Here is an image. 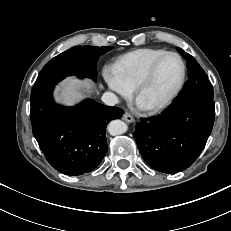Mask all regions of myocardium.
Segmentation results:
<instances>
[{"instance_id":"myocardium-1","label":"myocardium","mask_w":231,"mask_h":231,"mask_svg":"<svg viewBox=\"0 0 231 231\" xmlns=\"http://www.w3.org/2000/svg\"><path fill=\"white\" fill-rule=\"evenodd\" d=\"M169 56L177 57L181 63L180 80H179L178 84L176 85V87L172 90V92L170 94H168L164 99H162L161 101H159L157 103L144 106V109L147 111L156 112V111H159V110L166 108L178 96V94L181 92V90L185 84L187 68H186V63H185L184 59L182 58V56L180 54H178L176 52L167 51L166 53L162 54L156 60L153 61V63L149 66V68L146 70V72L144 73V75L140 79V81L134 87V94H135L136 99L137 100L139 99L142 92L145 90V88L151 82V80L154 77L156 70H157L158 66L160 65V63L165 58H167Z\"/></svg>"}]
</instances>
